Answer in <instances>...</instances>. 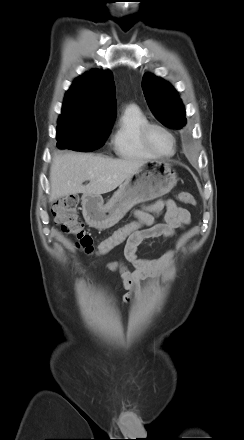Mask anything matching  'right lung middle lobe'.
Listing matches in <instances>:
<instances>
[{"instance_id": "1", "label": "right lung middle lobe", "mask_w": 244, "mask_h": 440, "mask_svg": "<svg viewBox=\"0 0 244 440\" xmlns=\"http://www.w3.org/2000/svg\"><path fill=\"white\" fill-rule=\"evenodd\" d=\"M112 124L80 120L58 122L57 147L83 152L96 150L104 144Z\"/></svg>"}]
</instances>
